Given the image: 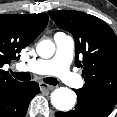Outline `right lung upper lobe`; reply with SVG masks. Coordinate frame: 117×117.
I'll return each instance as SVG.
<instances>
[{
  "mask_svg": "<svg viewBox=\"0 0 117 117\" xmlns=\"http://www.w3.org/2000/svg\"><path fill=\"white\" fill-rule=\"evenodd\" d=\"M47 23L48 16L45 13L0 14V98L19 84L2 70L3 65L16 59L17 54L33 42Z\"/></svg>",
  "mask_w": 117,
  "mask_h": 117,
  "instance_id": "1",
  "label": "right lung upper lobe"
}]
</instances>
